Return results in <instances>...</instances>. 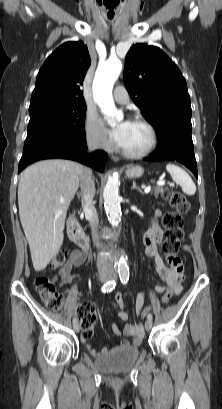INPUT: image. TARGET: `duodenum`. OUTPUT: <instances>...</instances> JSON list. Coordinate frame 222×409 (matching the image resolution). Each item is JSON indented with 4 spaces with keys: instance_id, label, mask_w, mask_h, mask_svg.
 Returning a JSON list of instances; mask_svg holds the SVG:
<instances>
[{
    "instance_id": "duodenum-1",
    "label": "duodenum",
    "mask_w": 222,
    "mask_h": 409,
    "mask_svg": "<svg viewBox=\"0 0 222 409\" xmlns=\"http://www.w3.org/2000/svg\"><path fill=\"white\" fill-rule=\"evenodd\" d=\"M68 236L70 240L82 251H87L89 248V240L83 228L78 222L75 213L71 215L68 223Z\"/></svg>"
}]
</instances>
